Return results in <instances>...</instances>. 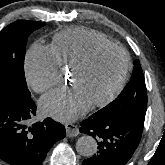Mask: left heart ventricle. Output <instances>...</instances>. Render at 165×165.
<instances>
[{
    "label": "left heart ventricle",
    "instance_id": "obj_1",
    "mask_svg": "<svg viewBox=\"0 0 165 165\" xmlns=\"http://www.w3.org/2000/svg\"><path fill=\"white\" fill-rule=\"evenodd\" d=\"M124 66L123 54L107 49L99 52L85 69L71 71L70 83L93 102L106 96L117 83Z\"/></svg>",
    "mask_w": 165,
    "mask_h": 165
}]
</instances>
